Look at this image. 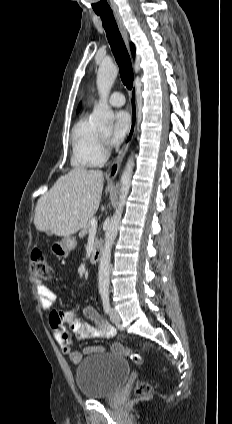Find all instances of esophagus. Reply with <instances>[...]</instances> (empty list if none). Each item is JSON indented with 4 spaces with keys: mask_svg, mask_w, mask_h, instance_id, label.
Returning a JSON list of instances; mask_svg holds the SVG:
<instances>
[{
    "mask_svg": "<svg viewBox=\"0 0 232 424\" xmlns=\"http://www.w3.org/2000/svg\"><path fill=\"white\" fill-rule=\"evenodd\" d=\"M114 17H115V20L117 22L120 33H121V35L124 39V42H125L126 46L129 47V39H128L127 30H126V27L124 25V22H123V19H122L120 13L114 12ZM136 93H137V88L134 85L132 90H131V94H130L131 128H130L129 134L127 135L126 141H125L122 149L120 150L119 154L117 155V157L115 158V160L113 161L111 166L109 167V170H108V173H107L108 178H115L116 175L118 174L120 166H121V162H122L128 148H129V145H130V143L133 139L134 133H135L136 122H137Z\"/></svg>",
    "mask_w": 232,
    "mask_h": 424,
    "instance_id": "1",
    "label": "esophagus"
}]
</instances>
